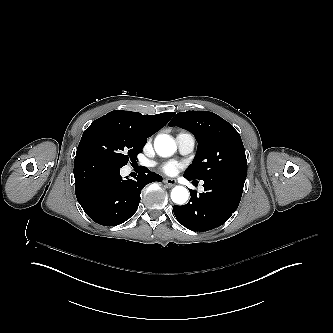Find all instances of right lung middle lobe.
<instances>
[{"label":"right lung middle lobe","mask_w":333,"mask_h":333,"mask_svg":"<svg viewBox=\"0 0 333 333\" xmlns=\"http://www.w3.org/2000/svg\"><path fill=\"white\" fill-rule=\"evenodd\" d=\"M145 144L113 124L97 123L84 131L76 154L95 155L121 168L135 161Z\"/></svg>","instance_id":"obj_1"}]
</instances>
